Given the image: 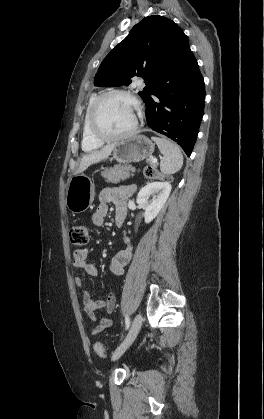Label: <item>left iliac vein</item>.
Instances as JSON below:
<instances>
[{
  "mask_svg": "<svg viewBox=\"0 0 264 419\" xmlns=\"http://www.w3.org/2000/svg\"><path fill=\"white\" fill-rule=\"evenodd\" d=\"M143 317L141 314H137L131 324V328L124 339V341L120 344V346L115 350L113 353L112 359L116 360L118 359L126 350L127 348L132 344V342L135 340L138 332L140 331V328L142 326Z\"/></svg>",
  "mask_w": 264,
  "mask_h": 419,
  "instance_id": "1",
  "label": "left iliac vein"
}]
</instances>
